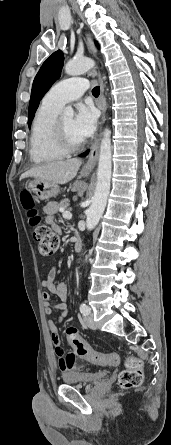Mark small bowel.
Here are the masks:
<instances>
[{
  "label": "small bowel",
  "instance_id": "c3829d8e",
  "mask_svg": "<svg viewBox=\"0 0 171 445\" xmlns=\"http://www.w3.org/2000/svg\"><path fill=\"white\" fill-rule=\"evenodd\" d=\"M56 204L49 203L44 207V211L47 213L46 221L55 229H58V226L54 223L52 215L56 211ZM55 273L51 272L48 277L42 281V287L47 290L42 295L44 310L47 315H50L53 311V308H57L60 311V316L57 321L49 320L48 327L51 333V339L55 347V353L58 356V366L61 372H71L76 370L77 364L75 362L74 354H65L61 347V338L58 323H60L64 317L68 314V307L65 303L67 299L68 288L64 282L56 283ZM51 295L57 296L62 302L60 304L54 305L51 300ZM117 358L118 356L114 354Z\"/></svg>",
  "mask_w": 171,
  "mask_h": 445
}]
</instances>
